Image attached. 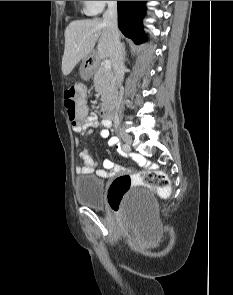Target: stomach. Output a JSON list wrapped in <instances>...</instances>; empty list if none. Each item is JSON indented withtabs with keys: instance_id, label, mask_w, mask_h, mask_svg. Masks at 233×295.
<instances>
[{
	"instance_id": "stomach-1",
	"label": "stomach",
	"mask_w": 233,
	"mask_h": 295,
	"mask_svg": "<svg viewBox=\"0 0 233 295\" xmlns=\"http://www.w3.org/2000/svg\"><path fill=\"white\" fill-rule=\"evenodd\" d=\"M88 62V58H86L83 62L82 65L80 67V74L81 77L85 80H87L90 76H91V72L93 69V66L90 65Z\"/></svg>"
}]
</instances>
